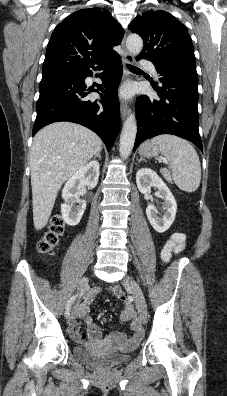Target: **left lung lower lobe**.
<instances>
[{
    "label": "left lung lower lobe",
    "instance_id": "obj_1",
    "mask_svg": "<svg viewBox=\"0 0 227 396\" xmlns=\"http://www.w3.org/2000/svg\"><path fill=\"white\" fill-rule=\"evenodd\" d=\"M155 67L163 87L155 88L159 98L145 95L137 99L138 131L134 151L146 139L161 134L187 139L202 151L198 130V76L184 70Z\"/></svg>",
    "mask_w": 227,
    "mask_h": 396
}]
</instances>
